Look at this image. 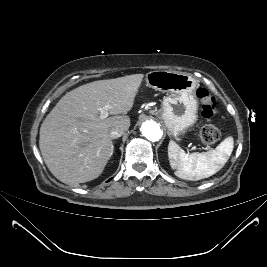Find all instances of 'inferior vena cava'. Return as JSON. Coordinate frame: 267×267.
<instances>
[{
  "label": "inferior vena cava",
  "instance_id": "602c4592",
  "mask_svg": "<svg viewBox=\"0 0 267 267\" xmlns=\"http://www.w3.org/2000/svg\"><path fill=\"white\" fill-rule=\"evenodd\" d=\"M123 133H124V128L121 126H117L110 130V137L112 139H116L118 137H121Z\"/></svg>",
  "mask_w": 267,
  "mask_h": 267
}]
</instances>
